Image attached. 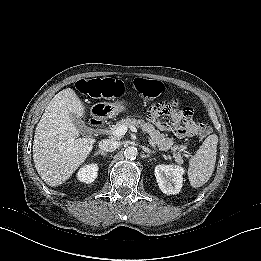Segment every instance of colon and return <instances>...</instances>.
Returning <instances> with one entry per match:
<instances>
[{
  "label": "colon",
  "mask_w": 261,
  "mask_h": 261,
  "mask_svg": "<svg viewBox=\"0 0 261 261\" xmlns=\"http://www.w3.org/2000/svg\"><path fill=\"white\" fill-rule=\"evenodd\" d=\"M75 86L78 91L92 98L114 97L119 95L122 90V84L112 78L81 79L76 82ZM134 88L144 98L155 99L149 109L151 115L160 118L162 116L169 117L175 135L187 136L191 134V129H196L203 135L209 133L210 129L207 124L192 121L193 111L190 108L177 109L175 103L160 98L163 85L159 81L136 78ZM185 120H189L192 126L184 124Z\"/></svg>",
  "instance_id": "colon-1"
}]
</instances>
